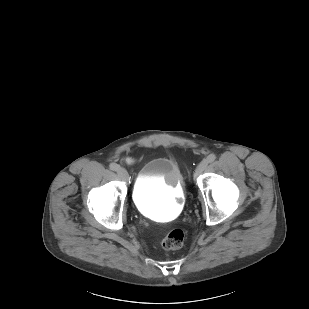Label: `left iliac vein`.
<instances>
[{
    "label": "left iliac vein",
    "mask_w": 309,
    "mask_h": 309,
    "mask_svg": "<svg viewBox=\"0 0 309 309\" xmlns=\"http://www.w3.org/2000/svg\"><path fill=\"white\" fill-rule=\"evenodd\" d=\"M207 161L206 160H203L199 163V165L197 166L196 168V171H195V174H194V177H197L199 176L207 167Z\"/></svg>",
    "instance_id": "1"
}]
</instances>
